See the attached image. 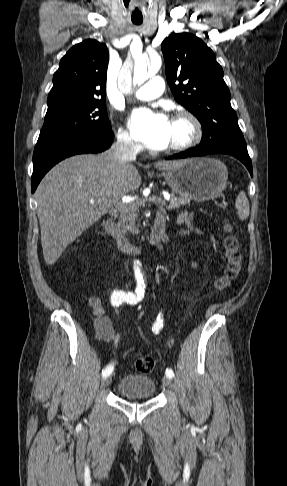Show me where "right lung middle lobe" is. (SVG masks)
<instances>
[{"label": "right lung middle lobe", "instance_id": "1", "mask_svg": "<svg viewBox=\"0 0 287 486\" xmlns=\"http://www.w3.org/2000/svg\"><path fill=\"white\" fill-rule=\"evenodd\" d=\"M105 99L67 102L48 107L37 144L93 139L110 132Z\"/></svg>", "mask_w": 287, "mask_h": 486}]
</instances>
